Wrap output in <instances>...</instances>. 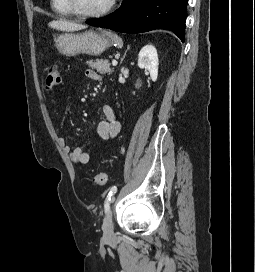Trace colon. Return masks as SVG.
Segmentation results:
<instances>
[{
    "label": "colon",
    "mask_w": 255,
    "mask_h": 272,
    "mask_svg": "<svg viewBox=\"0 0 255 272\" xmlns=\"http://www.w3.org/2000/svg\"><path fill=\"white\" fill-rule=\"evenodd\" d=\"M62 78L60 73V68L57 64H52L48 67L45 77V88L47 90H55L61 84ZM107 175L103 172L98 173L94 177V183L96 185L102 186L107 183Z\"/></svg>",
    "instance_id": "5ec220e1"
}]
</instances>
